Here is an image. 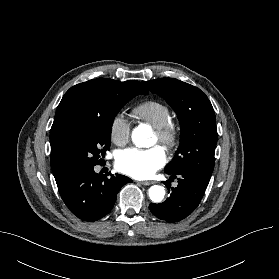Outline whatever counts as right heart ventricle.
I'll list each match as a JSON object with an SVG mask.
<instances>
[{
  "instance_id": "e07e8e85",
  "label": "right heart ventricle",
  "mask_w": 279,
  "mask_h": 279,
  "mask_svg": "<svg viewBox=\"0 0 279 279\" xmlns=\"http://www.w3.org/2000/svg\"><path fill=\"white\" fill-rule=\"evenodd\" d=\"M131 114L134 118L147 122L154 128L172 120L169 107L157 100H147L135 106Z\"/></svg>"
}]
</instances>
